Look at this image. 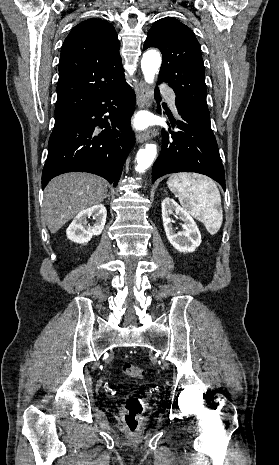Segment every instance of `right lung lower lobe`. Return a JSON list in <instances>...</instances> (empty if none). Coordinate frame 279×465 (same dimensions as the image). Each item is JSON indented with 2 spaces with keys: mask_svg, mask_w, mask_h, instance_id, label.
<instances>
[{
  "mask_svg": "<svg viewBox=\"0 0 279 465\" xmlns=\"http://www.w3.org/2000/svg\"><path fill=\"white\" fill-rule=\"evenodd\" d=\"M134 97L124 80L71 116L49 142L42 189L53 177L74 171L99 175L116 186L135 143L129 124ZM97 127L104 129L98 133Z\"/></svg>",
  "mask_w": 279,
  "mask_h": 465,
  "instance_id": "98d812e1",
  "label": "right lung lower lobe"
}]
</instances>
